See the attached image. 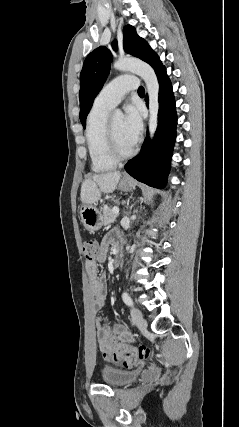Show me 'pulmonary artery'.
<instances>
[{
  "instance_id": "obj_1",
  "label": "pulmonary artery",
  "mask_w": 239,
  "mask_h": 427,
  "mask_svg": "<svg viewBox=\"0 0 239 427\" xmlns=\"http://www.w3.org/2000/svg\"><path fill=\"white\" fill-rule=\"evenodd\" d=\"M138 88V80L132 75H122L108 83L95 98L94 104L100 107L113 108L129 91Z\"/></svg>"
}]
</instances>
